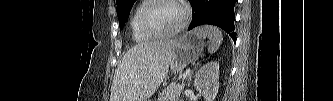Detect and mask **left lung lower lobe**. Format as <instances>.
Instances as JSON below:
<instances>
[{
    "label": "left lung lower lobe",
    "mask_w": 333,
    "mask_h": 101,
    "mask_svg": "<svg viewBox=\"0 0 333 101\" xmlns=\"http://www.w3.org/2000/svg\"><path fill=\"white\" fill-rule=\"evenodd\" d=\"M237 0H191L193 20L188 28L211 24L224 29L236 42L234 6Z\"/></svg>",
    "instance_id": "obj_1"
}]
</instances>
